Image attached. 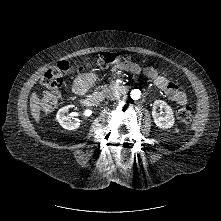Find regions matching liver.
Instances as JSON below:
<instances>
[{"instance_id":"1","label":"liver","mask_w":221,"mask_h":221,"mask_svg":"<svg viewBox=\"0 0 221 221\" xmlns=\"http://www.w3.org/2000/svg\"><path fill=\"white\" fill-rule=\"evenodd\" d=\"M51 98L50 94L47 96V98L45 99L44 103H46L47 101H49ZM41 105L42 103L40 102V99L38 98V95L35 93H32L31 97H30V109H31V114L33 116V118L36 121H39L40 119V109H41Z\"/></svg>"}]
</instances>
